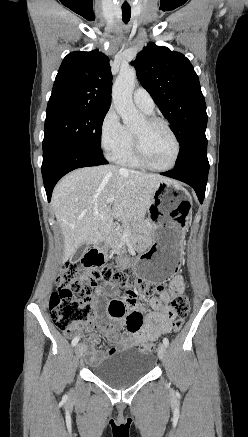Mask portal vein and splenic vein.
Returning <instances> with one entry per match:
<instances>
[{
  "label": "portal vein and splenic vein",
  "instance_id": "18ae733b",
  "mask_svg": "<svg viewBox=\"0 0 248 437\" xmlns=\"http://www.w3.org/2000/svg\"><path fill=\"white\" fill-rule=\"evenodd\" d=\"M115 201V197L114 196H110L107 198V203L108 204H112Z\"/></svg>",
  "mask_w": 248,
  "mask_h": 437
}]
</instances>
